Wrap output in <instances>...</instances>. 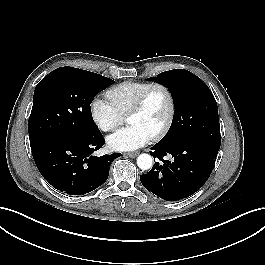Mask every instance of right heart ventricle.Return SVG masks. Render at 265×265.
Wrapping results in <instances>:
<instances>
[{
    "label": "right heart ventricle",
    "mask_w": 265,
    "mask_h": 265,
    "mask_svg": "<svg viewBox=\"0 0 265 265\" xmlns=\"http://www.w3.org/2000/svg\"><path fill=\"white\" fill-rule=\"evenodd\" d=\"M151 84L146 81H126L107 90L106 96L116 110L126 116L141 93Z\"/></svg>",
    "instance_id": "right-heart-ventricle-1"
}]
</instances>
